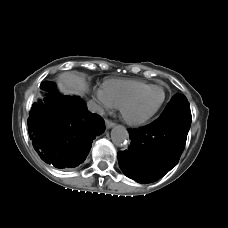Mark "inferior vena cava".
<instances>
[{
	"label": "inferior vena cava",
	"instance_id": "inferior-vena-cava-1",
	"mask_svg": "<svg viewBox=\"0 0 228 228\" xmlns=\"http://www.w3.org/2000/svg\"><path fill=\"white\" fill-rule=\"evenodd\" d=\"M87 107L88 110L92 113H97L99 115L104 114V109L93 100L87 102Z\"/></svg>",
	"mask_w": 228,
	"mask_h": 228
}]
</instances>
